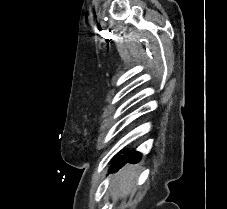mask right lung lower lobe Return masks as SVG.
I'll return each mask as SVG.
<instances>
[{"instance_id": "right-lung-lower-lobe-1", "label": "right lung lower lobe", "mask_w": 227, "mask_h": 209, "mask_svg": "<svg viewBox=\"0 0 227 209\" xmlns=\"http://www.w3.org/2000/svg\"><path fill=\"white\" fill-rule=\"evenodd\" d=\"M141 158V154L139 152H130L126 154L125 156L121 157L119 160H117L113 166L111 167V171L115 172L120 167H122L125 163H137Z\"/></svg>"}]
</instances>
